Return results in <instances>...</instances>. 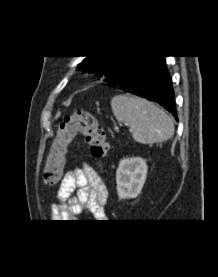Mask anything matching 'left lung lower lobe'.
<instances>
[{
  "label": "left lung lower lobe",
  "mask_w": 218,
  "mask_h": 277,
  "mask_svg": "<svg viewBox=\"0 0 218 277\" xmlns=\"http://www.w3.org/2000/svg\"><path fill=\"white\" fill-rule=\"evenodd\" d=\"M105 81L159 103L178 120L172 80L163 56H136Z\"/></svg>",
  "instance_id": "obj_1"
}]
</instances>
